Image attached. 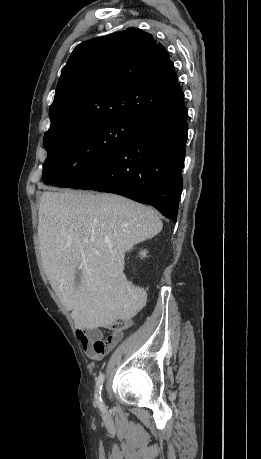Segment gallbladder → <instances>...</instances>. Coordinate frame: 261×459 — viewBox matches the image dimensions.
<instances>
[{
	"label": "gallbladder",
	"instance_id": "gallbladder-1",
	"mask_svg": "<svg viewBox=\"0 0 261 459\" xmlns=\"http://www.w3.org/2000/svg\"><path fill=\"white\" fill-rule=\"evenodd\" d=\"M81 275H82V271L80 269L76 270V273H75V284H76V286H79L80 283H81Z\"/></svg>",
	"mask_w": 261,
	"mask_h": 459
}]
</instances>
